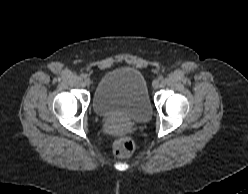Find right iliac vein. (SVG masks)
Segmentation results:
<instances>
[{"label":"right iliac vein","mask_w":248,"mask_h":194,"mask_svg":"<svg viewBox=\"0 0 248 194\" xmlns=\"http://www.w3.org/2000/svg\"><path fill=\"white\" fill-rule=\"evenodd\" d=\"M84 83H85L86 85H90V84H91V80H90L89 78H85V79H84Z\"/></svg>","instance_id":"obj_1"}]
</instances>
